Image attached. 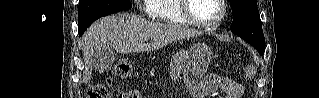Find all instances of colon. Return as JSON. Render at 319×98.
I'll use <instances>...</instances> for the list:
<instances>
[{"instance_id":"1","label":"colon","mask_w":319,"mask_h":98,"mask_svg":"<svg viewBox=\"0 0 319 98\" xmlns=\"http://www.w3.org/2000/svg\"><path fill=\"white\" fill-rule=\"evenodd\" d=\"M115 76L120 79L127 78L131 73V66L129 63L122 61L119 62L114 70ZM112 79H108L107 84H110ZM129 98L132 95H125L120 90H114L112 93L109 92L106 84H94L89 87L87 91V98Z\"/></svg>"}]
</instances>
